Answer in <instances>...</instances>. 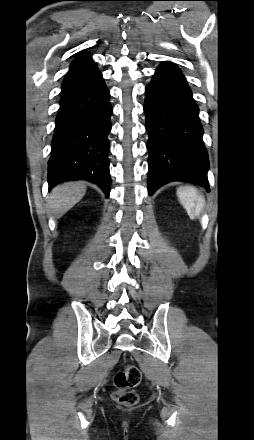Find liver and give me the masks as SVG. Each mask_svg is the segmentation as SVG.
<instances>
[{
    "label": "liver",
    "instance_id": "obj_1",
    "mask_svg": "<svg viewBox=\"0 0 254 440\" xmlns=\"http://www.w3.org/2000/svg\"><path fill=\"white\" fill-rule=\"evenodd\" d=\"M85 193L86 186L83 182L63 183L53 188L48 203L54 215L61 217L78 203Z\"/></svg>",
    "mask_w": 254,
    "mask_h": 440
}]
</instances>
